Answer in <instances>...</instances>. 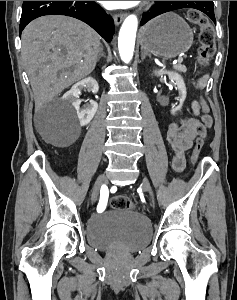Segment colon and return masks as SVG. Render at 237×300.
<instances>
[{"label": "colon", "instance_id": "obj_1", "mask_svg": "<svg viewBox=\"0 0 237 300\" xmlns=\"http://www.w3.org/2000/svg\"><path fill=\"white\" fill-rule=\"evenodd\" d=\"M190 22L200 27V46L197 49L196 63L200 66H206L215 53L214 30L208 19L196 9H191L187 13ZM204 145L203 138H198L192 154V161L196 162L199 158L201 149ZM110 205L118 210H130L134 208V203L122 195H114L110 199Z\"/></svg>", "mask_w": 237, "mask_h": 300}]
</instances>
